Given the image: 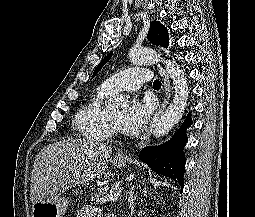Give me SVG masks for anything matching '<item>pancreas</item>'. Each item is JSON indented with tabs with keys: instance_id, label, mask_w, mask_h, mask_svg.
<instances>
[{
	"instance_id": "cf45deb5",
	"label": "pancreas",
	"mask_w": 255,
	"mask_h": 217,
	"mask_svg": "<svg viewBox=\"0 0 255 217\" xmlns=\"http://www.w3.org/2000/svg\"><path fill=\"white\" fill-rule=\"evenodd\" d=\"M110 193L108 192V188H100L97 191L91 194V201L97 204H105L108 200Z\"/></svg>"
}]
</instances>
